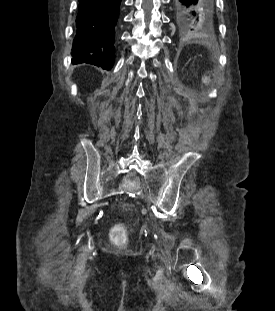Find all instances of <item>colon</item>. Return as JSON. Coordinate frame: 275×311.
Wrapping results in <instances>:
<instances>
[{
    "mask_svg": "<svg viewBox=\"0 0 275 311\" xmlns=\"http://www.w3.org/2000/svg\"><path fill=\"white\" fill-rule=\"evenodd\" d=\"M129 209H130V208H129ZM119 241H120L121 243L124 242V236H123V234H121V235L119 236Z\"/></svg>",
    "mask_w": 275,
    "mask_h": 311,
    "instance_id": "1",
    "label": "colon"
}]
</instances>
